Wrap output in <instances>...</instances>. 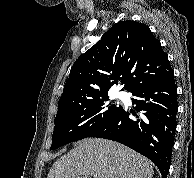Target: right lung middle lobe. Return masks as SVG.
Returning <instances> with one entry per match:
<instances>
[{
	"instance_id": "1",
	"label": "right lung middle lobe",
	"mask_w": 194,
	"mask_h": 178,
	"mask_svg": "<svg viewBox=\"0 0 194 178\" xmlns=\"http://www.w3.org/2000/svg\"><path fill=\"white\" fill-rule=\"evenodd\" d=\"M121 109L103 95L57 111L51 150L88 137Z\"/></svg>"
}]
</instances>
